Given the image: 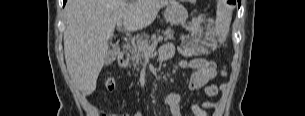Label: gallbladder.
Wrapping results in <instances>:
<instances>
[{"mask_svg": "<svg viewBox=\"0 0 305 116\" xmlns=\"http://www.w3.org/2000/svg\"><path fill=\"white\" fill-rule=\"evenodd\" d=\"M117 54H118L117 49H110L105 56V64L109 65V64L113 63V61L117 57Z\"/></svg>", "mask_w": 305, "mask_h": 116, "instance_id": "1", "label": "gallbladder"}]
</instances>
